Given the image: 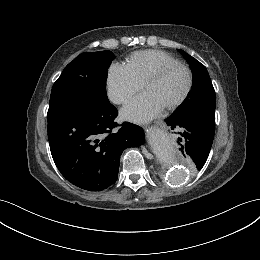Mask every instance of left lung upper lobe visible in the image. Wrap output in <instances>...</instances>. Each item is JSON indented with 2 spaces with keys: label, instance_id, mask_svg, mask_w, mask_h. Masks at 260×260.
I'll use <instances>...</instances> for the list:
<instances>
[{
  "label": "left lung upper lobe",
  "instance_id": "obj_1",
  "mask_svg": "<svg viewBox=\"0 0 260 260\" xmlns=\"http://www.w3.org/2000/svg\"><path fill=\"white\" fill-rule=\"evenodd\" d=\"M189 63L193 73V85L185 102L175 111L177 114L191 111L207 112L215 115V91L205 66L198 60L178 50Z\"/></svg>",
  "mask_w": 260,
  "mask_h": 260
}]
</instances>
